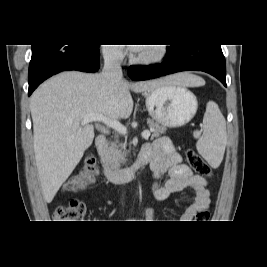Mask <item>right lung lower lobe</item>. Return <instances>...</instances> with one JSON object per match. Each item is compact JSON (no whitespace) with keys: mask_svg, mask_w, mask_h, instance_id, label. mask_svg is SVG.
Instances as JSON below:
<instances>
[{"mask_svg":"<svg viewBox=\"0 0 267 267\" xmlns=\"http://www.w3.org/2000/svg\"><path fill=\"white\" fill-rule=\"evenodd\" d=\"M98 45H32L28 96L44 80L62 71L96 72L100 67Z\"/></svg>","mask_w":267,"mask_h":267,"instance_id":"98d812e1","label":"right lung lower lobe"}]
</instances>
